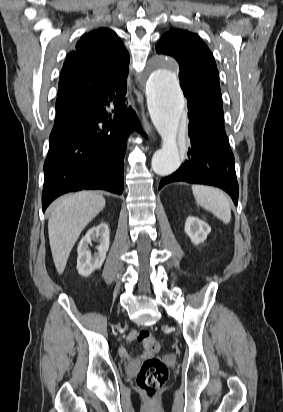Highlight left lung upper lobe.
<instances>
[{
  "instance_id": "left-lung-upper-lobe-1",
  "label": "left lung upper lobe",
  "mask_w": 283,
  "mask_h": 412,
  "mask_svg": "<svg viewBox=\"0 0 283 412\" xmlns=\"http://www.w3.org/2000/svg\"><path fill=\"white\" fill-rule=\"evenodd\" d=\"M158 54L174 57L179 63V79L188 102L210 114L223 115L219 73L214 57L196 34L170 29L156 46Z\"/></svg>"
}]
</instances>
